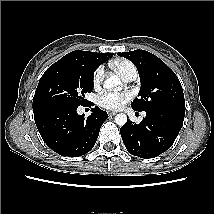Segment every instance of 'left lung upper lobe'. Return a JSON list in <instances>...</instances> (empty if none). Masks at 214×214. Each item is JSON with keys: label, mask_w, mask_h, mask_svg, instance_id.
<instances>
[{"label": "left lung upper lobe", "mask_w": 214, "mask_h": 214, "mask_svg": "<svg viewBox=\"0 0 214 214\" xmlns=\"http://www.w3.org/2000/svg\"><path fill=\"white\" fill-rule=\"evenodd\" d=\"M117 54L132 61L140 76L139 98L131 103L135 111L154 108L185 110L184 94L180 81L161 59L145 50Z\"/></svg>", "instance_id": "obj_1"}]
</instances>
